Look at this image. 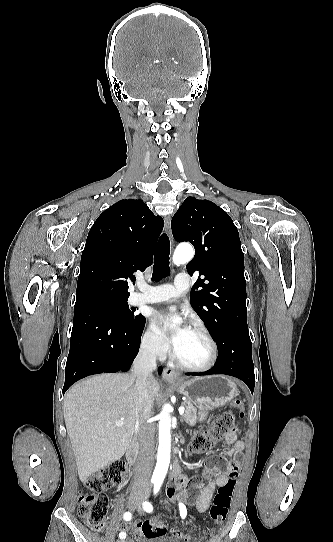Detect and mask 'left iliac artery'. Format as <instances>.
I'll return each instance as SVG.
<instances>
[{
    "label": "left iliac artery",
    "instance_id": "1",
    "mask_svg": "<svg viewBox=\"0 0 333 542\" xmlns=\"http://www.w3.org/2000/svg\"><path fill=\"white\" fill-rule=\"evenodd\" d=\"M161 484H162V482L154 483V494H156L160 490ZM143 508H144V510L146 512H149V513L153 511V507L149 502H144L143 503ZM179 509H180L181 517L185 518L186 514H187V510H186L185 505L182 504V503H179Z\"/></svg>",
    "mask_w": 333,
    "mask_h": 542
}]
</instances>
